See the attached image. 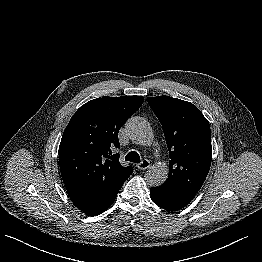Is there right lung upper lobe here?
Listing matches in <instances>:
<instances>
[{
    "label": "right lung upper lobe",
    "mask_w": 262,
    "mask_h": 262,
    "mask_svg": "<svg viewBox=\"0 0 262 262\" xmlns=\"http://www.w3.org/2000/svg\"><path fill=\"white\" fill-rule=\"evenodd\" d=\"M142 103V96H103L72 116L60 142L59 164L73 203L107 202L132 174V167H123L112 149L120 147L118 132Z\"/></svg>",
    "instance_id": "cb5924a9"
}]
</instances>
